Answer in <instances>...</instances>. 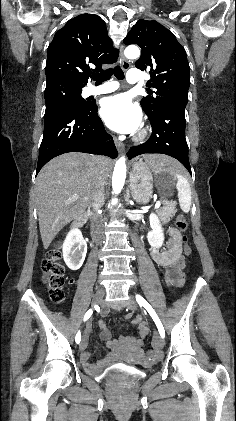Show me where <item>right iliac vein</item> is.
Returning a JSON list of instances; mask_svg holds the SVG:
<instances>
[{
    "mask_svg": "<svg viewBox=\"0 0 236 421\" xmlns=\"http://www.w3.org/2000/svg\"><path fill=\"white\" fill-rule=\"evenodd\" d=\"M104 296H105L104 290L97 289L94 296H93V299H92V306H96L98 304H101ZM86 346H87L86 340L83 339L82 342L80 343V350L81 351L85 350Z\"/></svg>",
    "mask_w": 236,
    "mask_h": 421,
    "instance_id": "63e3f726",
    "label": "right iliac vein"
}]
</instances>
